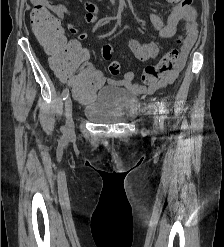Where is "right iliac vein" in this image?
<instances>
[{
    "instance_id": "obj_1",
    "label": "right iliac vein",
    "mask_w": 224,
    "mask_h": 247,
    "mask_svg": "<svg viewBox=\"0 0 224 247\" xmlns=\"http://www.w3.org/2000/svg\"><path fill=\"white\" fill-rule=\"evenodd\" d=\"M65 117H66V132L71 134L74 130V122L72 118V100L68 97L65 101Z\"/></svg>"
}]
</instances>
